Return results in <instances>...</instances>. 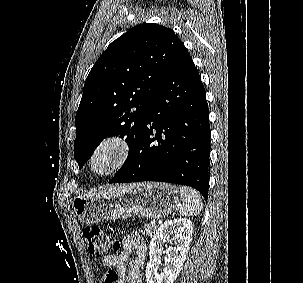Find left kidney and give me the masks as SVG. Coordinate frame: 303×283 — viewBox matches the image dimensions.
<instances>
[{"label": "left kidney", "mask_w": 303, "mask_h": 283, "mask_svg": "<svg viewBox=\"0 0 303 283\" xmlns=\"http://www.w3.org/2000/svg\"><path fill=\"white\" fill-rule=\"evenodd\" d=\"M192 232V222L186 218L166 221L158 228L150 242V259L146 266L147 283H174L186 259ZM170 234L173 235L172 238H170ZM172 241L175 246L167 249L168 257L162 272L159 273L163 245L165 242L171 243Z\"/></svg>", "instance_id": "5707ae66"}]
</instances>
